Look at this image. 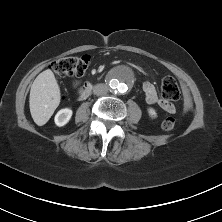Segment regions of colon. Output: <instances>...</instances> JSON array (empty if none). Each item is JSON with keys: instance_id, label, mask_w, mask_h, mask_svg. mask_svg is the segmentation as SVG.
Listing matches in <instances>:
<instances>
[{"instance_id": "1", "label": "colon", "mask_w": 222, "mask_h": 222, "mask_svg": "<svg viewBox=\"0 0 222 222\" xmlns=\"http://www.w3.org/2000/svg\"><path fill=\"white\" fill-rule=\"evenodd\" d=\"M91 59L88 55L79 57H65L54 61L51 64L53 72L60 76H82L85 74L90 66ZM161 93L165 99L176 100L180 96V88L177 81L171 77L166 76L162 80ZM176 124V119L169 116L164 119L162 127L165 130H171Z\"/></svg>"}]
</instances>
